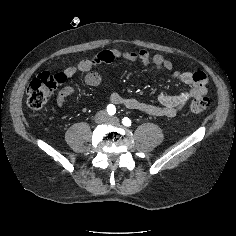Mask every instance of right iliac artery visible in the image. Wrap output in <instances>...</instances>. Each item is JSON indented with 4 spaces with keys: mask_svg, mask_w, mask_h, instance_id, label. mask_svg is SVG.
I'll return each mask as SVG.
<instances>
[{
    "mask_svg": "<svg viewBox=\"0 0 236 236\" xmlns=\"http://www.w3.org/2000/svg\"><path fill=\"white\" fill-rule=\"evenodd\" d=\"M107 112L109 115H114L116 113V108L113 104L107 106Z\"/></svg>",
    "mask_w": 236,
    "mask_h": 236,
    "instance_id": "right-iliac-artery-1",
    "label": "right iliac artery"
}]
</instances>
